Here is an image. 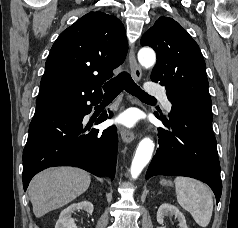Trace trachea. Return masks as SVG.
<instances>
[{"label": "trachea", "mask_w": 238, "mask_h": 228, "mask_svg": "<svg viewBox=\"0 0 238 228\" xmlns=\"http://www.w3.org/2000/svg\"><path fill=\"white\" fill-rule=\"evenodd\" d=\"M105 95L115 96L123 90L143 100H155L145 93L131 78L127 72H121L117 77L107 82L104 86Z\"/></svg>", "instance_id": "obj_1"}]
</instances>
